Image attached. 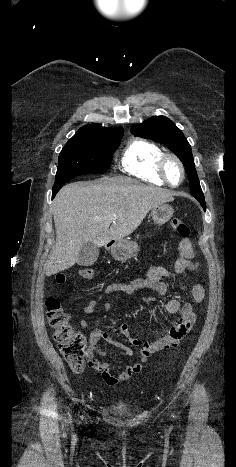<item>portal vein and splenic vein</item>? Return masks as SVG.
<instances>
[{
  "instance_id": "18ae733b",
  "label": "portal vein and splenic vein",
  "mask_w": 236,
  "mask_h": 467,
  "mask_svg": "<svg viewBox=\"0 0 236 467\" xmlns=\"http://www.w3.org/2000/svg\"><path fill=\"white\" fill-rule=\"evenodd\" d=\"M109 219L115 220V219H116V216H115V215H111V216H109Z\"/></svg>"
}]
</instances>
